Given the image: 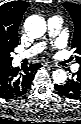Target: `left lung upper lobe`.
Returning <instances> with one entry per match:
<instances>
[{
	"instance_id": "1",
	"label": "left lung upper lobe",
	"mask_w": 81,
	"mask_h": 124,
	"mask_svg": "<svg viewBox=\"0 0 81 124\" xmlns=\"http://www.w3.org/2000/svg\"><path fill=\"white\" fill-rule=\"evenodd\" d=\"M62 5L69 12L74 23L72 48L76 54L75 58L77 62L81 64V5L68 2Z\"/></svg>"
}]
</instances>
